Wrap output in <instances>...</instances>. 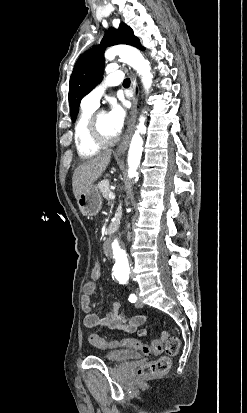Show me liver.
<instances>
[{
  "label": "liver",
  "mask_w": 247,
  "mask_h": 413,
  "mask_svg": "<svg viewBox=\"0 0 247 413\" xmlns=\"http://www.w3.org/2000/svg\"><path fill=\"white\" fill-rule=\"evenodd\" d=\"M111 154V150L99 152L75 168L72 176V190L75 198H78L82 192H86L87 188L101 176L110 162Z\"/></svg>",
  "instance_id": "6515ba94"
}]
</instances>
